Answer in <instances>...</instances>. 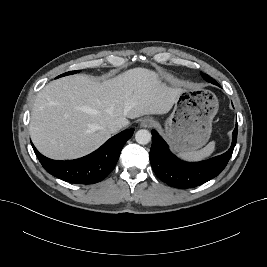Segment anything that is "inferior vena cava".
Wrapping results in <instances>:
<instances>
[{
    "label": "inferior vena cava",
    "instance_id": "1",
    "mask_svg": "<svg viewBox=\"0 0 267 267\" xmlns=\"http://www.w3.org/2000/svg\"><path fill=\"white\" fill-rule=\"evenodd\" d=\"M124 127L123 123L120 121H113L108 124L107 128L111 133H117Z\"/></svg>",
    "mask_w": 267,
    "mask_h": 267
}]
</instances>
